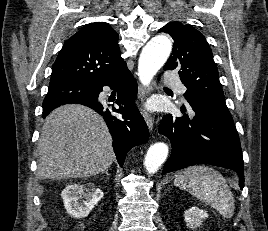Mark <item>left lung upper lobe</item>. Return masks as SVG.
Here are the masks:
<instances>
[{"label": "left lung upper lobe", "mask_w": 268, "mask_h": 231, "mask_svg": "<svg viewBox=\"0 0 268 231\" xmlns=\"http://www.w3.org/2000/svg\"><path fill=\"white\" fill-rule=\"evenodd\" d=\"M158 32L169 34L174 41L164 70H178L182 83L187 87L184 94L187 102L207 108L233 122L212 51L204 36L191 25L180 22H170Z\"/></svg>", "instance_id": "5c2ea615"}]
</instances>
